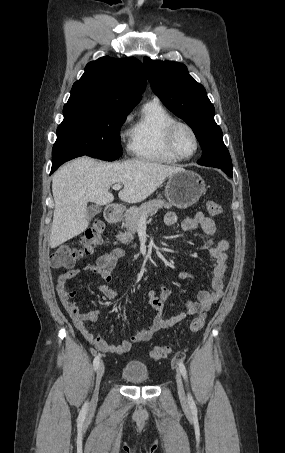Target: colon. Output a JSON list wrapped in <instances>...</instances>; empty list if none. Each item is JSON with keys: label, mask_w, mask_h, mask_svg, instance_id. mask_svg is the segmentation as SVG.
I'll return each instance as SVG.
<instances>
[{"label": "colon", "mask_w": 285, "mask_h": 453, "mask_svg": "<svg viewBox=\"0 0 285 453\" xmlns=\"http://www.w3.org/2000/svg\"><path fill=\"white\" fill-rule=\"evenodd\" d=\"M207 210L210 215L218 216L222 212L220 204L214 201H208ZM104 225L101 221H94L85 231V233L76 241L65 243L59 246L51 255L50 264L53 268H69L72 267L79 259L88 256L92 253L93 248L102 240ZM205 314L201 313L195 317L190 329L193 332L200 331L205 325ZM170 349L166 346H156L150 352V357L159 361L168 356Z\"/></svg>", "instance_id": "colon-1"}]
</instances>
